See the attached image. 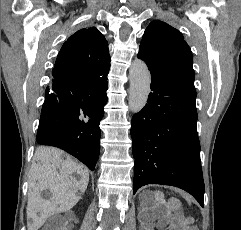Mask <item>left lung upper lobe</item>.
Listing matches in <instances>:
<instances>
[{"instance_id": "1", "label": "left lung upper lobe", "mask_w": 241, "mask_h": 230, "mask_svg": "<svg viewBox=\"0 0 241 230\" xmlns=\"http://www.w3.org/2000/svg\"><path fill=\"white\" fill-rule=\"evenodd\" d=\"M142 59L151 73L194 86L193 57L180 31L155 20L146 28L139 47Z\"/></svg>"}]
</instances>
